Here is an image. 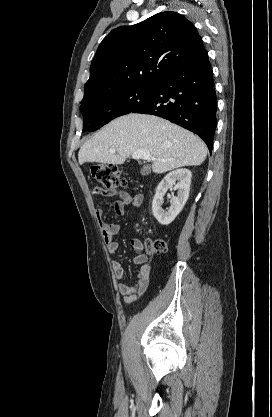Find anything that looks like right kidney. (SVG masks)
Here are the masks:
<instances>
[{"mask_svg": "<svg viewBox=\"0 0 272 417\" xmlns=\"http://www.w3.org/2000/svg\"><path fill=\"white\" fill-rule=\"evenodd\" d=\"M192 173L188 169H177L168 173L156 188L152 202V212L161 225H169L182 211L189 197ZM176 181H178L176 183ZM178 191L176 197L170 200V208L164 211L162 208L163 196L169 188Z\"/></svg>", "mask_w": 272, "mask_h": 417, "instance_id": "right-kidney-1", "label": "right kidney"}]
</instances>
